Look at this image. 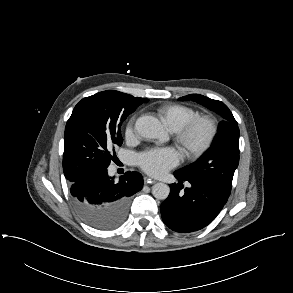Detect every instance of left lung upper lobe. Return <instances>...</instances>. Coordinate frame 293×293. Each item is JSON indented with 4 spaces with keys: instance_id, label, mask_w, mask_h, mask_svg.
Listing matches in <instances>:
<instances>
[{
    "instance_id": "5c2ea615",
    "label": "left lung upper lobe",
    "mask_w": 293,
    "mask_h": 293,
    "mask_svg": "<svg viewBox=\"0 0 293 293\" xmlns=\"http://www.w3.org/2000/svg\"><path fill=\"white\" fill-rule=\"evenodd\" d=\"M179 100H192L218 113L223 120L208 151L195 163L175 171L186 177L209 180L231 190L234 172L239 163V128L229 108L221 101L200 94H190Z\"/></svg>"
}]
</instances>
